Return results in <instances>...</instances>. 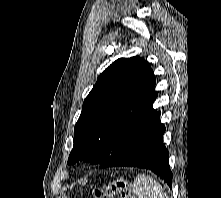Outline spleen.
Wrapping results in <instances>:
<instances>
[{"mask_svg":"<svg viewBox=\"0 0 221 198\" xmlns=\"http://www.w3.org/2000/svg\"><path fill=\"white\" fill-rule=\"evenodd\" d=\"M132 187L138 198H168L162 186L148 175L139 174Z\"/></svg>","mask_w":221,"mask_h":198,"instance_id":"1","label":"spleen"}]
</instances>
